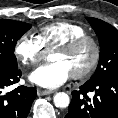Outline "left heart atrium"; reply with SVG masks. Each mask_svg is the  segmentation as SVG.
Returning <instances> with one entry per match:
<instances>
[{"mask_svg": "<svg viewBox=\"0 0 118 118\" xmlns=\"http://www.w3.org/2000/svg\"><path fill=\"white\" fill-rule=\"evenodd\" d=\"M70 75L63 64L51 63L34 70L30 74L29 79L41 87L53 89L64 84Z\"/></svg>", "mask_w": 118, "mask_h": 118, "instance_id": "obj_1", "label": "left heart atrium"}]
</instances>
